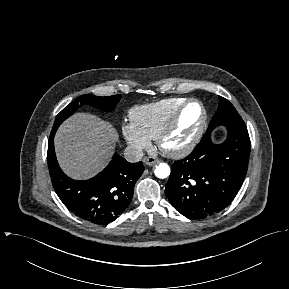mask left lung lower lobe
Returning a JSON list of instances; mask_svg holds the SVG:
<instances>
[{
	"mask_svg": "<svg viewBox=\"0 0 289 289\" xmlns=\"http://www.w3.org/2000/svg\"><path fill=\"white\" fill-rule=\"evenodd\" d=\"M224 143L211 141L208 129L183 160L175 161L165 194L173 207L189 219H202L228 206L247 173L250 138L247 129L227 127Z\"/></svg>",
	"mask_w": 289,
	"mask_h": 289,
	"instance_id": "0a47b994",
	"label": "left lung lower lobe"
}]
</instances>
